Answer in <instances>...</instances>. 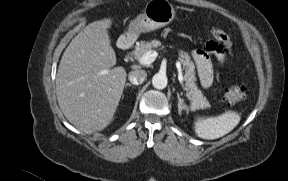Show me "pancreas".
<instances>
[{"mask_svg": "<svg viewBox=\"0 0 288 181\" xmlns=\"http://www.w3.org/2000/svg\"><path fill=\"white\" fill-rule=\"evenodd\" d=\"M161 45V42L158 40L142 41L140 45L135 48L134 55L139 59L146 52L157 49L161 47ZM179 60L185 69V90L187 91L188 99L191 101V107L193 109H204L210 107L207 98L202 94L201 90L198 89V86L195 83V66L191 61L190 56L186 52L180 50Z\"/></svg>", "mask_w": 288, "mask_h": 181, "instance_id": "cf45deb5", "label": "pancreas"}]
</instances>
